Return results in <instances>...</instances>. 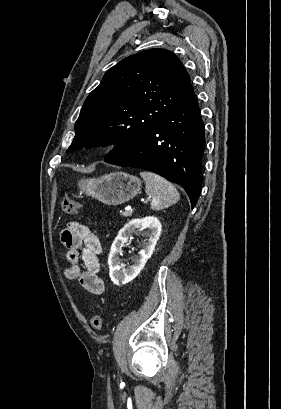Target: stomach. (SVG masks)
<instances>
[{
	"instance_id": "0dacf381",
	"label": "stomach",
	"mask_w": 281,
	"mask_h": 409,
	"mask_svg": "<svg viewBox=\"0 0 281 409\" xmlns=\"http://www.w3.org/2000/svg\"><path fill=\"white\" fill-rule=\"evenodd\" d=\"M141 180L127 172H109L99 178H81L78 182L82 194L98 198L104 205H122L141 192Z\"/></svg>"
}]
</instances>
